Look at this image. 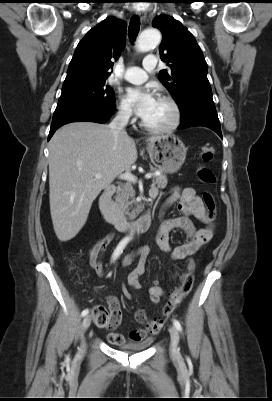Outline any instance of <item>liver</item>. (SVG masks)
I'll return each mask as SVG.
<instances>
[{"label":"liver","mask_w":272,"mask_h":401,"mask_svg":"<svg viewBox=\"0 0 272 401\" xmlns=\"http://www.w3.org/2000/svg\"><path fill=\"white\" fill-rule=\"evenodd\" d=\"M49 151L51 218L57 238L65 242L78 234L93 201L117 175L129 171L138 153L132 138L116 140L108 125L93 122L64 125L50 140Z\"/></svg>","instance_id":"6515ba94"}]
</instances>
